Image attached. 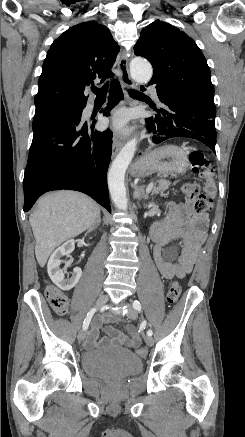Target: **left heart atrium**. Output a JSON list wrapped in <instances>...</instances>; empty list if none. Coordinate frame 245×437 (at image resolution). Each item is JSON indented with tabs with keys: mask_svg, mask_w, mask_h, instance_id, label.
Returning a JSON list of instances; mask_svg holds the SVG:
<instances>
[{
	"mask_svg": "<svg viewBox=\"0 0 245 437\" xmlns=\"http://www.w3.org/2000/svg\"><path fill=\"white\" fill-rule=\"evenodd\" d=\"M128 121V113L125 111H118L106 122V126L114 133L122 135L127 131Z\"/></svg>",
	"mask_w": 245,
	"mask_h": 437,
	"instance_id": "1",
	"label": "left heart atrium"
}]
</instances>
